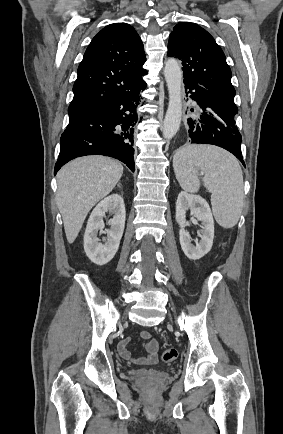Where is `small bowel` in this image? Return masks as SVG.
Wrapping results in <instances>:
<instances>
[{"label":"small bowel","mask_w":283,"mask_h":434,"mask_svg":"<svg viewBox=\"0 0 283 434\" xmlns=\"http://www.w3.org/2000/svg\"><path fill=\"white\" fill-rule=\"evenodd\" d=\"M139 336L146 340L144 344V349L146 354L142 357L134 358L131 352L128 350L127 345L130 342V338L123 339L118 345V351L122 358L126 360H131L136 364L140 365H152L157 363L158 361V342L156 339L152 338V335L149 331H141Z\"/></svg>","instance_id":"obj_1"}]
</instances>
